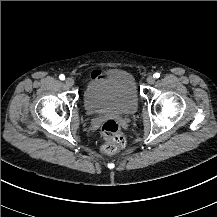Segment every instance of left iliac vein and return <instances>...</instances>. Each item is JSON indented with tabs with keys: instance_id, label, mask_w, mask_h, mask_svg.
<instances>
[{
	"instance_id": "4c4485c4",
	"label": "left iliac vein",
	"mask_w": 217,
	"mask_h": 217,
	"mask_svg": "<svg viewBox=\"0 0 217 217\" xmlns=\"http://www.w3.org/2000/svg\"><path fill=\"white\" fill-rule=\"evenodd\" d=\"M146 81L148 84L152 85L155 82V77L153 75H148Z\"/></svg>"
}]
</instances>
